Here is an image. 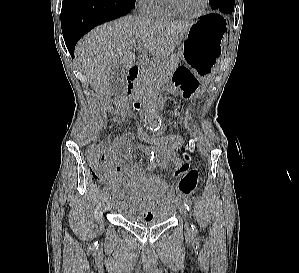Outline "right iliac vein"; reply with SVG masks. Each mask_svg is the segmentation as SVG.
Masks as SVG:
<instances>
[{"mask_svg": "<svg viewBox=\"0 0 299 273\" xmlns=\"http://www.w3.org/2000/svg\"><path fill=\"white\" fill-rule=\"evenodd\" d=\"M111 203H112L113 207L115 208L116 207V199L113 198Z\"/></svg>", "mask_w": 299, "mask_h": 273, "instance_id": "1", "label": "right iliac vein"}]
</instances>
